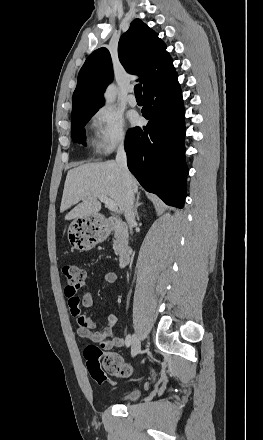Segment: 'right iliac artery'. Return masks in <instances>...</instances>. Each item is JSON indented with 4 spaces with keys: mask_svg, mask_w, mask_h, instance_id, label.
<instances>
[{
    "mask_svg": "<svg viewBox=\"0 0 263 440\" xmlns=\"http://www.w3.org/2000/svg\"><path fill=\"white\" fill-rule=\"evenodd\" d=\"M131 341H132V337L130 334H128L125 338L126 347H129L131 345Z\"/></svg>",
    "mask_w": 263,
    "mask_h": 440,
    "instance_id": "obj_1",
    "label": "right iliac artery"
}]
</instances>
